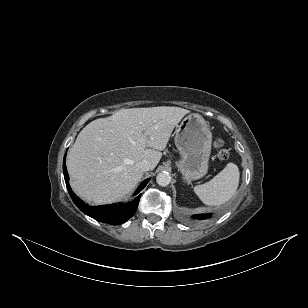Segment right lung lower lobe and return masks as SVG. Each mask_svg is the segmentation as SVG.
<instances>
[{
    "label": "right lung lower lobe",
    "mask_w": 308,
    "mask_h": 308,
    "mask_svg": "<svg viewBox=\"0 0 308 308\" xmlns=\"http://www.w3.org/2000/svg\"><path fill=\"white\" fill-rule=\"evenodd\" d=\"M65 160H66V155L64 156V160H63V173H64L67 190L73 202L81 211H83L85 214L89 215L90 217L100 222H104V223H108L112 225L121 224L134 215L138 207L140 195L133 202L129 204L119 203V204L104 205V206H97V207H91L87 204H84L83 201L74 194V192L69 186V175L67 172ZM148 182H149V179L142 182L136 194H138L147 185Z\"/></svg>",
    "instance_id": "right-lung-lower-lobe-1"
}]
</instances>
